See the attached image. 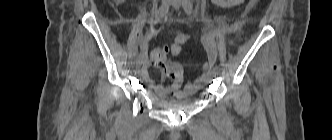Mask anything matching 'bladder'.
Instances as JSON below:
<instances>
[{
    "label": "bladder",
    "instance_id": "31cf9c89",
    "mask_svg": "<svg viewBox=\"0 0 332 140\" xmlns=\"http://www.w3.org/2000/svg\"><path fill=\"white\" fill-rule=\"evenodd\" d=\"M150 99L153 103L166 109H184L194 102L195 93L173 100H165L152 95L150 96Z\"/></svg>",
    "mask_w": 332,
    "mask_h": 140
}]
</instances>
